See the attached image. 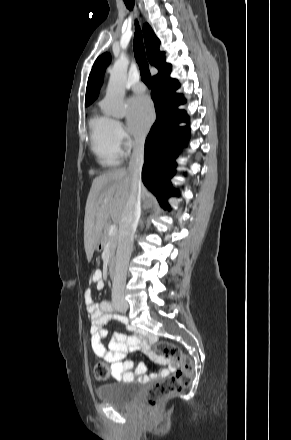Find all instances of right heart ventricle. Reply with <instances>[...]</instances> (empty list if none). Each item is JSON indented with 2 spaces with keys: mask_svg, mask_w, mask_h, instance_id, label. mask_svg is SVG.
Instances as JSON below:
<instances>
[{
  "mask_svg": "<svg viewBox=\"0 0 291 440\" xmlns=\"http://www.w3.org/2000/svg\"><path fill=\"white\" fill-rule=\"evenodd\" d=\"M114 122L111 117L100 113H94L89 121L91 149L104 167H115L121 162L122 152L115 141Z\"/></svg>",
  "mask_w": 291,
  "mask_h": 440,
  "instance_id": "obj_1",
  "label": "right heart ventricle"
}]
</instances>
